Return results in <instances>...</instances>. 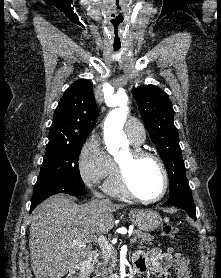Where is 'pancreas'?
<instances>
[{
  "label": "pancreas",
  "instance_id": "obj_1",
  "mask_svg": "<svg viewBox=\"0 0 221 278\" xmlns=\"http://www.w3.org/2000/svg\"><path fill=\"white\" fill-rule=\"evenodd\" d=\"M133 234H134L135 241L139 239L140 244L144 242H148L151 244V241L153 240V236L139 230L134 231ZM99 258L101 259V262L97 263V265L94 267L93 278H111L110 275L112 274V270L116 266V262H117V250L114 247H112L110 253L107 252L106 250H103Z\"/></svg>",
  "mask_w": 221,
  "mask_h": 278
}]
</instances>
